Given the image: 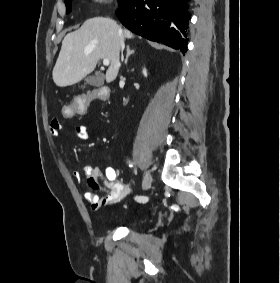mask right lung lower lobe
Returning <instances> with one entry per match:
<instances>
[{
  "mask_svg": "<svg viewBox=\"0 0 280 283\" xmlns=\"http://www.w3.org/2000/svg\"><path fill=\"white\" fill-rule=\"evenodd\" d=\"M190 0H126L116 10L120 22L132 32L187 51Z\"/></svg>",
  "mask_w": 280,
  "mask_h": 283,
  "instance_id": "right-lung-lower-lobe-1",
  "label": "right lung lower lobe"
}]
</instances>
